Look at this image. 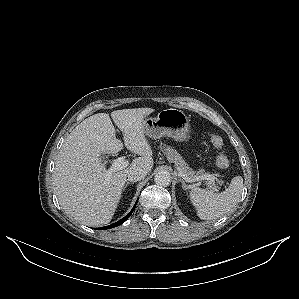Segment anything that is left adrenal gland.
I'll return each instance as SVG.
<instances>
[{
    "mask_svg": "<svg viewBox=\"0 0 299 299\" xmlns=\"http://www.w3.org/2000/svg\"><path fill=\"white\" fill-rule=\"evenodd\" d=\"M178 181L182 183V188L184 190H186L187 189V185L185 184V182L183 181V179L180 178V179H178Z\"/></svg>",
    "mask_w": 299,
    "mask_h": 299,
    "instance_id": "obj_1",
    "label": "left adrenal gland"
}]
</instances>
